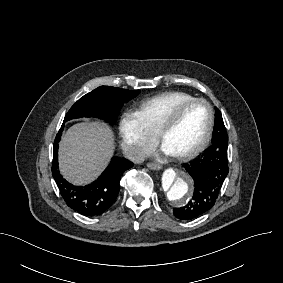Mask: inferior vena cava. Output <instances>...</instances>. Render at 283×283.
Listing matches in <instances>:
<instances>
[{
	"label": "inferior vena cava",
	"instance_id": "602c4592",
	"mask_svg": "<svg viewBox=\"0 0 283 283\" xmlns=\"http://www.w3.org/2000/svg\"><path fill=\"white\" fill-rule=\"evenodd\" d=\"M147 154L139 146H131L124 150V157L135 164L143 163Z\"/></svg>",
	"mask_w": 283,
	"mask_h": 283
}]
</instances>
